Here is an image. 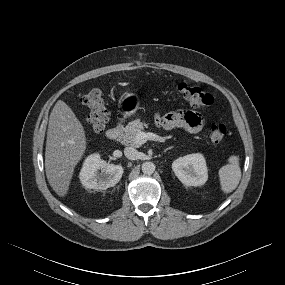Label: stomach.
Masks as SVG:
<instances>
[{"label":"stomach","mask_w":285,"mask_h":285,"mask_svg":"<svg viewBox=\"0 0 285 285\" xmlns=\"http://www.w3.org/2000/svg\"><path fill=\"white\" fill-rule=\"evenodd\" d=\"M120 105L124 116H131L137 112L140 106V99L136 93L126 92L120 99Z\"/></svg>","instance_id":"1"}]
</instances>
